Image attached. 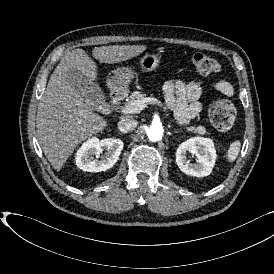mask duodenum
<instances>
[{"label": "duodenum", "mask_w": 274, "mask_h": 274, "mask_svg": "<svg viewBox=\"0 0 274 274\" xmlns=\"http://www.w3.org/2000/svg\"><path fill=\"white\" fill-rule=\"evenodd\" d=\"M123 96L120 93H112L110 97V102L113 106L119 105V103L122 101Z\"/></svg>", "instance_id": "duodenum-1"}]
</instances>
